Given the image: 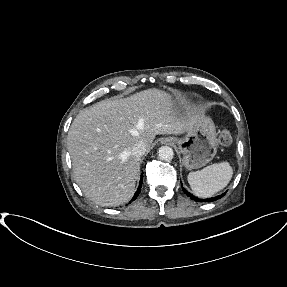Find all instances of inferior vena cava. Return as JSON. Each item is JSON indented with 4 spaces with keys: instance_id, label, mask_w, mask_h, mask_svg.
Here are the masks:
<instances>
[{
    "instance_id": "1",
    "label": "inferior vena cava",
    "mask_w": 287,
    "mask_h": 287,
    "mask_svg": "<svg viewBox=\"0 0 287 287\" xmlns=\"http://www.w3.org/2000/svg\"><path fill=\"white\" fill-rule=\"evenodd\" d=\"M146 148V144L143 141H140L133 146L132 154L135 157L140 158L146 152Z\"/></svg>"
}]
</instances>
